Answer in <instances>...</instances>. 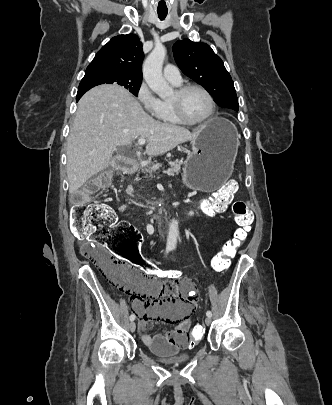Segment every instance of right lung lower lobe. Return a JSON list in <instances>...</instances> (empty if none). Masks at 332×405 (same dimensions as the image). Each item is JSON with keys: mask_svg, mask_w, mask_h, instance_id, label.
I'll use <instances>...</instances> for the list:
<instances>
[{"mask_svg": "<svg viewBox=\"0 0 332 405\" xmlns=\"http://www.w3.org/2000/svg\"><path fill=\"white\" fill-rule=\"evenodd\" d=\"M83 94H84V93H77L76 101H78V100L82 97Z\"/></svg>", "mask_w": 332, "mask_h": 405, "instance_id": "right-lung-lower-lobe-1", "label": "right lung lower lobe"}]
</instances>
